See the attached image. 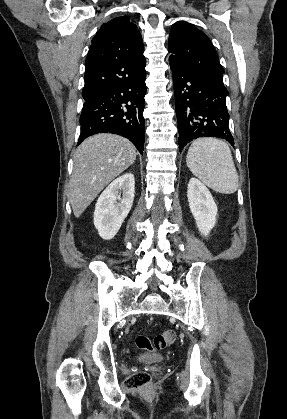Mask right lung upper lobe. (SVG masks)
<instances>
[{
  "label": "right lung upper lobe",
  "instance_id": "1",
  "mask_svg": "<svg viewBox=\"0 0 287 419\" xmlns=\"http://www.w3.org/2000/svg\"><path fill=\"white\" fill-rule=\"evenodd\" d=\"M143 52L141 34L128 16L104 23L86 58L84 100L146 72Z\"/></svg>",
  "mask_w": 287,
  "mask_h": 419
}]
</instances>
